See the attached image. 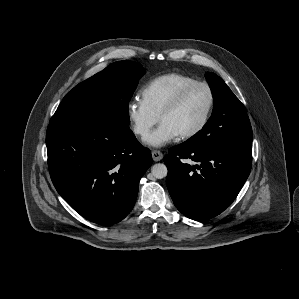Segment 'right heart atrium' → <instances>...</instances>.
I'll return each mask as SVG.
<instances>
[{
  "label": "right heart atrium",
  "mask_w": 299,
  "mask_h": 299,
  "mask_svg": "<svg viewBox=\"0 0 299 299\" xmlns=\"http://www.w3.org/2000/svg\"><path fill=\"white\" fill-rule=\"evenodd\" d=\"M126 112L133 132L140 137L148 135L159 120V116L153 113L140 99L129 101Z\"/></svg>",
  "instance_id": "1"
}]
</instances>
